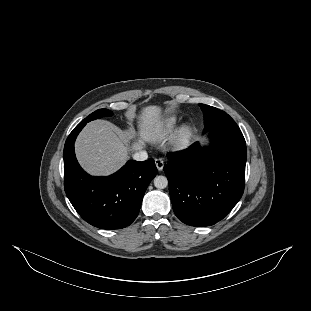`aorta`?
I'll return each instance as SVG.
<instances>
[{"instance_id": "1", "label": "aorta", "mask_w": 311, "mask_h": 311, "mask_svg": "<svg viewBox=\"0 0 311 311\" xmlns=\"http://www.w3.org/2000/svg\"><path fill=\"white\" fill-rule=\"evenodd\" d=\"M154 186L158 189H164L168 186V179L166 176L158 175L154 178Z\"/></svg>"}]
</instances>
